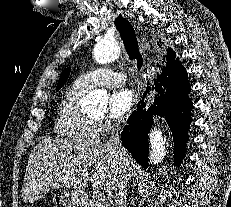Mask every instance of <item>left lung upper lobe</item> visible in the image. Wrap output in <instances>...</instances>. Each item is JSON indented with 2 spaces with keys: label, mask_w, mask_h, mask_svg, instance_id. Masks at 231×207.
I'll return each mask as SVG.
<instances>
[{
  "label": "left lung upper lobe",
  "mask_w": 231,
  "mask_h": 207,
  "mask_svg": "<svg viewBox=\"0 0 231 207\" xmlns=\"http://www.w3.org/2000/svg\"><path fill=\"white\" fill-rule=\"evenodd\" d=\"M69 72H70V68L68 67V68L61 74V77H60L59 82H58L57 87H56V91H58V90L64 85V83L66 82V80H67L68 77H69Z\"/></svg>",
  "instance_id": "obj_1"
}]
</instances>
